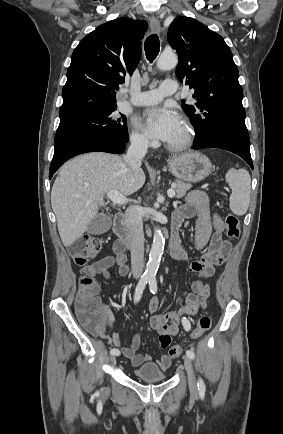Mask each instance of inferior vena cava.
I'll list each match as a JSON object with an SVG mask.
<instances>
[{"instance_id":"602c4592","label":"inferior vena cava","mask_w":283,"mask_h":434,"mask_svg":"<svg viewBox=\"0 0 283 434\" xmlns=\"http://www.w3.org/2000/svg\"><path fill=\"white\" fill-rule=\"evenodd\" d=\"M148 141L143 137L133 138L123 160L132 169H138L147 153ZM125 222L131 234V268L134 278H139L144 267V232L139 206H130L125 212Z\"/></svg>"}]
</instances>
